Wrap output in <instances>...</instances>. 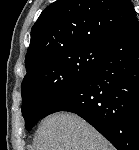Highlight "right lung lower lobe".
Segmentation results:
<instances>
[{
  "label": "right lung lower lobe",
  "instance_id": "1",
  "mask_svg": "<svg viewBox=\"0 0 139 150\" xmlns=\"http://www.w3.org/2000/svg\"><path fill=\"white\" fill-rule=\"evenodd\" d=\"M75 113L118 150H139V22L135 19L106 46L91 71L60 96L44 117Z\"/></svg>",
  "mask_w": 139,
  "mask_h": 150
}]
</instances>
